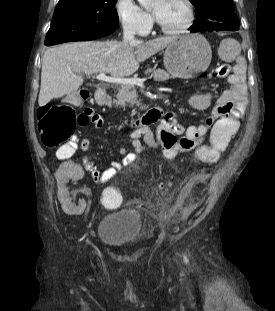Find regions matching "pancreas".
Here are the masks:
<instances>
[{"mask_svg": "<svg viewBox=\"0 0 275 311\" xmlns=\"http://www.w3.org/2000/svg\"><path fill=\"white\" fill-rule=\"evenodd\" d=\"M152 73L155 81H166L171 78L169 73L159 68H148L145 74ZM116 106L125 108L127 105L133 107L134 105H140V101L137 100V93L134 85L126 84L121 85L118 90L116 99L114 100Z\"/></svg>", "mask_w": 275, "mask_h": 311, "instance_id": "cf45deb5", "label": "pancreas"}]
</instances>
